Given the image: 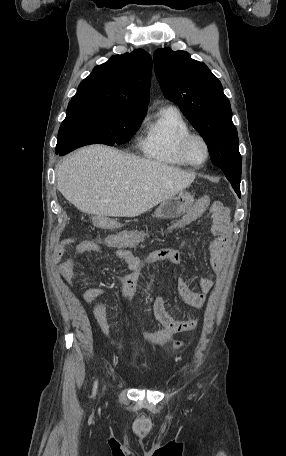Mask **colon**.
Instances as JSON below:
<instances>
[{
    "mask_svg": "<svg viewBox=\"0 0 286 456\" xmlns=\"http://www.w3.org/2000/svg\"><path fill=\"white\" fill-rule=\"evenodd\" d=\"M200 204H203V205H208L210 204L211 207L215 210L217 209H220L222 207L221 203L220 202H210L209 198L208 197H202L199 201ZM106 241L107 242H112L113 239L112 238H109V237H106Z\"/></svg>",
    "mask_w": 286,
    "mask_h": 456,
    "instance_id": "obj_1",
    "label": "colon"
}]
</instances>
